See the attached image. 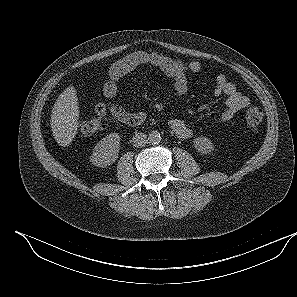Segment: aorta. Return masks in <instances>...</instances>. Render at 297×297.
<instances>
[{
  "label": "aorta",
  "mask_w": 297,
  "mask_h": 297,
  "mask_svg": "<svg viewBox=\"0 0 297 297\" xmlns=\"http://www.w3.org/2000/svg\"><path fill=\"white\" fill-rule=\"evenodd\" d=\"M148 141L151 144H158L161 141V134L157 130H153L148 135Z\"/></svg>",
  "instance_id": "aorta-1"
}]
</instances>
